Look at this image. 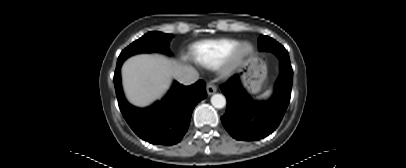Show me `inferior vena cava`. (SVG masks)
Wrapping results in <instances>:
<instances>
[{"mask_svg":"<svg viewBox=\"0 0 406 168\" xmlns=\"http://www.w3.org/2000/svg\"><path fill=\"white\" fill-rule=\"evenodd\" d=\"M176 79L181 84L191 85L199 79V74L194 68L188 67V68H185L184 70L180 71L177 74Z\"/></svg>","mask_w":406,"mask_h":168,"instance_id":"602c4592","label":"inferior vena cava"}]
</instances>
